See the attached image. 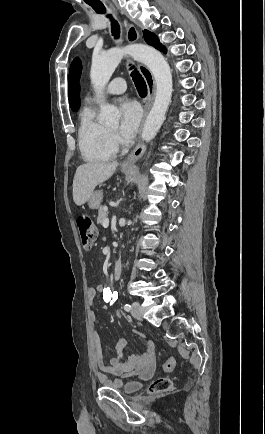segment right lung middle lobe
<instances>
[{
	"label": "right lung middle lobe",
	"instance_id": "right-lung-middle-lobe-1",
	"mask_svg": "<svg viewBox=\"0 0 265 434\" xmlns=\"http://www.w3.org/2000/svg\"><path fill=\"white\" fill-rule=\"evenodd\" d=\"M78 108H79V107H72L71 109H72L73 111H77Z\"/></svg>",
	"mask_w": 265,
	"mask_h": 434
}]
</instances>
